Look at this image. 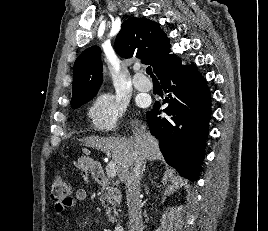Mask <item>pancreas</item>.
<instances>
[{
  "label": "pancreas",
  "mask_w": 268,
  "mask_h": 231,
  "mask_svg": "<svg viewBox=\"0 0 268 231\" xmlns=\"http://www.w3.org/2000/svg\"><path fill=\"white\" fill-rule=\"evenodd\" d=\"M100 201L104 208H106V214L108 220L112 223L117 222V217L119 215V209L121 198L119 191L113 186H109L106 182L102 184L100 192ZM105 202L107 205H105Z\"/></svg>",
  "instance_id": "obj_1"
}]
</instances>
